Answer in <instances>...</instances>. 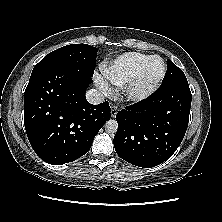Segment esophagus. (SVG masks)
<instances>
[{"instance_id": "34e87169", "label": "esophagus", "mask_w": 222, "mask_h": 222, "mask_svg": "<svg viewBox=\"0 0 222 222\" xmlns=\"http://www.w3.org/2000/svg\"><path fill=\"white\" fill-rule=\"evenodd\" d=\"M117 112H118V107L116 105H112L111 106V117H116L117 115Z\"/></svg>"}]
</instances>
